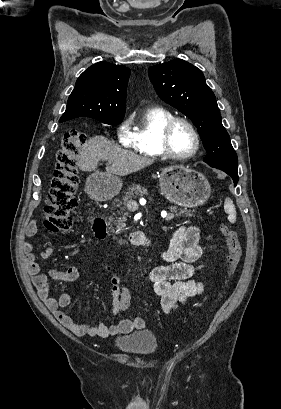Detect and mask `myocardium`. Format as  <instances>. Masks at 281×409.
Wrapping results in <instances>:
<instances>
[{"mask_svg":"<svg viewBox=\"0 0 281 409\" xmlns=\"http://www.w3.org/2000/svg\"><path fill=\"white\" fill-rule=\"evenodd\" d=\"M179 124H183L184 126H186L194 137V142H195L194 150L191 153L186 154V155L176 154L171 147V136H172L173 130ZM200 145H201V140H200V136H199L197 129L188 119L184 117L172 118L165 124L161 132V136H160L161 150L165 156L171 159L179 160V161L188 160L194 157L198 153L200 149Z\"/></svg>","mask_w":281,"mask_h":409,"instance_id":"1","label":"myocardium"}]
</instances>
